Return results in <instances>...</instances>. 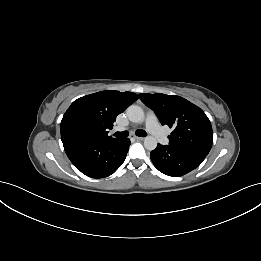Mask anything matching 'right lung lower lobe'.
<instances>
[{"label": "right lung lower lobe", "instance_id": "right-lung-lower-lobe-1", "mask_svg": "<svg viewBox=\"0 0 261 261\" xmlns=\"http://www.w3.org/2000/svg\"><path fill=\"white\" fill-rule=\"evenodd\" d=\"M130 143L128 138L70 140L63 142V146L70 161L83 174L92 178H104L122 165Z\"/></svg>", "mask_w": 261, "mask_h": 261}]
</instances>
